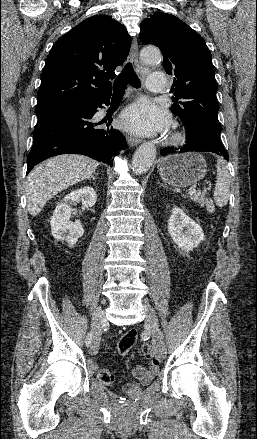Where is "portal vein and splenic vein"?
Wrapping results in <instances>:
<instances>
[{"mask_svg": "<svg viewBox=\"0 0 257 439\" xmlns=\"http://www.w3.org/2000/svg\"><path fill=\"white\" fill-rule=\"evenodd\" d=\"M196 193V190L194 188H190L188 194L194 195Z\"/></svg>", "mask_w": 257, "mask_h": 439, "instance_id": "portal-vein-and-splenic-vein-1", "label": "portal vein and splenic vein"}]
</instances>
